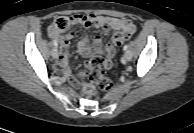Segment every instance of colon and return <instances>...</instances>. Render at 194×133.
<instances>
[{"mask_svg":"<svg viewBox=\"0 0 194 133\" xmlns=\"http://www.w3.org/2000/svg\"><path fill=\"white\" fill-rule=\"evenodd\" d=\"M70 19L68 17H59L52 23V28L58 34L68 29L70 25ZM131 34L127 32H117L112 38L114 46H120L124 41L129 39ZM104 60L101 56H93L85 63V71L83 73L89 80L88 83L83 84V94L87 97L92 96L95 93V87L100 90L106 91L112 88L113 82L105 76L102 66Z\"/></svg>","mask_w":194,"mask_h":133,"instance_id":"obj_1","label":"colon"}]
</instances>
